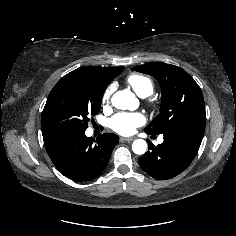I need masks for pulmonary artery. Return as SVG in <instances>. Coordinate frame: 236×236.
Returning <instances> with one entry per match:
<instances>
[{
  "instance_id": "obj_1",
  "label": "pulmonary artery",
  "mask_w": 236,
  "mask_h": 236,
  "mask_svg": "<svg viewBox=\"0 0 236 236\" xmlns=\"http://www.w3.org/2000/svg\"><path fill=\"white\" fill-rule=\"evenodd\" d=\"M163 141V138L162 137H160V139H159V142H162Z\"/></svg>"
}]
</instances>
